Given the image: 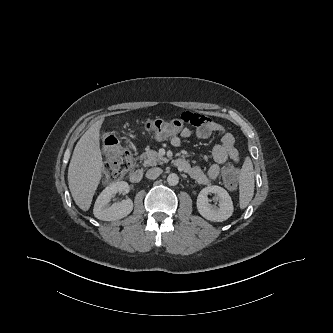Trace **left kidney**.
<instances>
[{
	"mask_svg": "<svg viewBox=\"0 0 333 333\" xmlns=\"http://www.w3.org/2000/svg\"><path fill=\"white\" fill-rule=\"evenodd\" d=\"M214 193L219 200V207L209 204L208 195ZM197 209L201 216L213 222H223L233 214V202L228 192L219 186L203 188L197 197Z\"/></svg>",
	"mask_w": 333,
	"mask_h": 333,
	"instance_id": "obj_1",
	"label": "left kidney"
}]
</instances>
